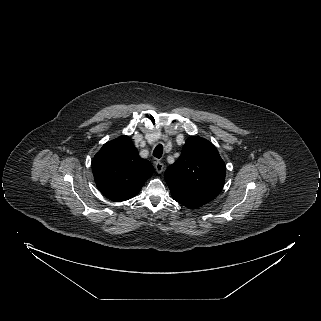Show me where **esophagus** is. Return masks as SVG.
Masks as SVG:
<instances>
[{
	"mask_svg": "<svg viewBox=\"0 0 321 321\" xmlns=\"http://www.w3.org/2000/svg\"><path fill=\"white\" fill-rule=\"evenodd\" d=\"M155 170H156V172L157 173H162L163 172V170H164V164L162 163V162H160V161H156V163H155Z\"/></svg>",
	"mask_w": 321,
	"mask_h": 321,
	"instance_id": "34e87169",
	"label": "esophagus"
}]
</instances>
